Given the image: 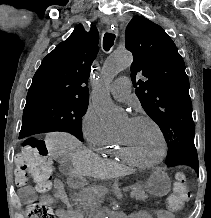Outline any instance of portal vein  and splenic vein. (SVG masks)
Masks as SVG:
<instances>
[{"label": "portal vein and splenic vein", "mask_w": 211, "mask_h": 218, "mask_svg": "<svg viewBox=\"0 0 211 218\" xmlns=\"http://www.w3.org/2000/svg\"><path fill=\"white\" fill-rule=\"evenodd\" d=\"M122 188L125 189V191H129L130 190L129 188H127V186H123Z\"/></svg>", "instance_id": "18ae733b"}]
</instances>
